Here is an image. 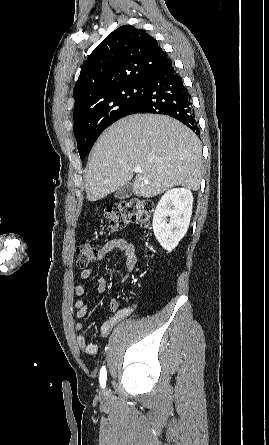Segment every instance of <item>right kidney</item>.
<instances>
[{
	"label": "right kidney",
	"instance_id": "right-kidney-1",
	"mask_svg": "<svg viewBox=\"0 0 269 445\" xmlns=\"http://www.w3.org/2000/svg\"><path fill=\"white\" fill-rule=\"evenodd\" d=\"M192 204V193L185 188L168 190L159 200L152 226L154 235L163 249L168 251L174 249L186 234L191 219Z\"/></svg>",
	"mask_w": 269,
	"mask_h": 445
}]
</instances>
